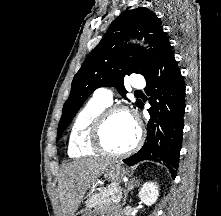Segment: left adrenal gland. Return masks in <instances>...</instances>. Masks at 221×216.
Returning a JSON list of instances; mask_svg holds the SVG:
<instances>
[{"mask_svg":"<svg viewBox=\"0 0 221 216\" xmlns=\"http://www.w3.org/2000/svg\"><path fill=\"white\" fill-rule=\"evenodd\" d=\"M138 186H139V181L135 180V178L131 179L130 182L126 184V190H124L123 205L126 204L129 191H132L135 187H138Z\"/></svg>","mask_w":221,"mask_h":216,"instance_id":"obj_1","label":"left adrenal gland"}]
</instances>
